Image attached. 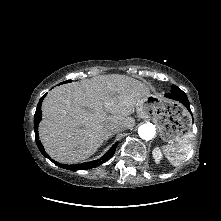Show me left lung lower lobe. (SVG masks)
Segmentation results:
<instances>
[{
  "label": "left lung lower lobe",
  "mask_w": 221,
  "mask_h": 221,
  "mask_svg": "<svg viewBox=\"0 0 221 221\" xmlns=\"http://www.w3.org/2000/svg\"><path fill=\"white\" fill-rule=\"evenodd\" d=\"M166 97L183 103L185 107L191 112L188 98L181 89L171 91L170 93L166 94Z\"/></svg>",
  "instance_id": "0a47b994"
}]
</instances>
